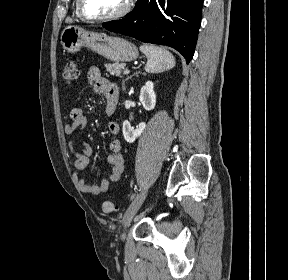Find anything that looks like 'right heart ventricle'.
<instances>
[{
    "instance_id": "1",
    "label": "right heart ventricle",
    "mask_w": 288,
    "mask_h": 280,
    "mask_svg": "<svg viewBox=\"0 0 288 280\" xmlns=\"http://www.w3.org/2000/svg\"><path fill=\"white\" fill-rule=\"evenodd\" d=\"M75 14H76V16H77L78 18H81V17L79 16V14H78V11H77V3H76V5H75Z\"/></svg>"
}]
</instances>
